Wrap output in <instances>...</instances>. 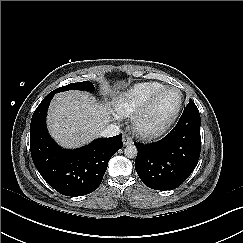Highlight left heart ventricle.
<instances>
[{
	"label": "left heart ventricle",
	"mask_w": 243,
	"mask_h": 243,
	"mask_svg": "<svg viewBox=\"0 0 243 243\" xmlns=\"http://www.w3.org/2000/svg\"><path fill=\"white\" fill-rule=\"evenodd\" d=\"M179 100L180 94L176 90H170L162 94L148 114L145 124L156 125L167 120L177 109Z\"/></svg>",
	"instance_id": "b2bd125f"
}]
</instances>
